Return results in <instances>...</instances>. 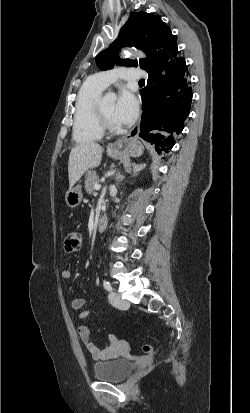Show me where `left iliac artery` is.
Instances as JSON below:
<instances>
[{"label":"left iliac artery","instance_id":"obj_1","mask_svg":"<svg viewBox=\"0 0 250 413\" xmlns=\"http://www.w3.org/2000/svg\"><path fill=\"white\" fill-rule=\"evenodd\" d=\"M103 286L107 291H112V289H113L111 284L107 280L103 281Z\"/></svg>","mask_w":250,"mask_h":413}]
</instances>
